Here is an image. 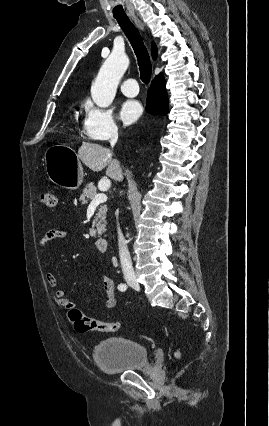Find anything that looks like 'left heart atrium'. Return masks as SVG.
Instances as JSON below:
<instances>
[{
  "mask_svg": "<svg viewBox=\"0 0 269 426\" xmlns=\"http://www.w3.org/2000/svg\"><path fill=\"white\" fill-rule=\"evenodd\" d=\"M142 114V106L137 100H126L119 110V118L125 125L134 123Z\"/></svg>",
  "mask_w": 269,
  "mask_h": 426,
  "instance_id": "1",
  "label": "left heart atrium"
}]
</instances>
